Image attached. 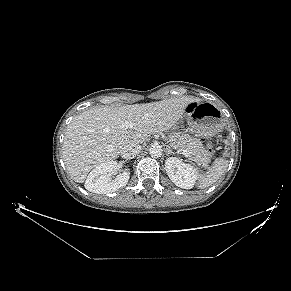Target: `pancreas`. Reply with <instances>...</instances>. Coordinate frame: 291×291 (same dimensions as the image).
<instances>
[{"label": "pancreas", "mask_w": 291, "mask_h": 291, "mask_svg": "<svg viewBox=\"0 0 291 291\" xmlns=\"http://www.w3.org/2000/svg\"><path fill=\"white\" fill-rule=\"evenodd\" d=\"M168 142L171 147L178 151H188L190 158L198 164L208 166L211 157L199 139L193 138L188 134L174 133L170 135Z\"/></svg>", "instance_id": "1"}]
</instances>
